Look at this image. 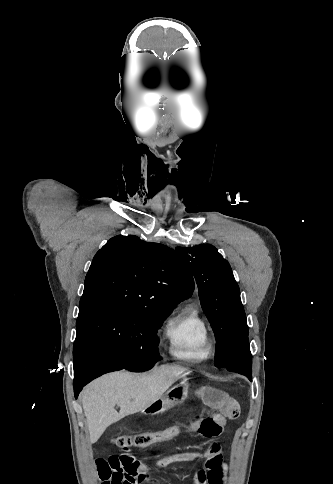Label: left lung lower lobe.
<instances>
[{"label":"left lung lower lobe","instance_id":"left-lung-lower-lobe-1","mask_svg":"<svg viewBox=\"0 0 333 484\" xmlns=\"http://www.w3.org/2000/svg\"><path fill=\"white\" fill-rule=\"evenodd\" d=\"M230 364L241 365L247 370L251 369V353L249 348L248 335L241 338L235 345L230 354ZM247 377L251 380V374L247 373Z\"/></svg>","mask_w":333,"mask_h":484}]
</instances>
